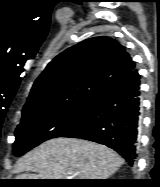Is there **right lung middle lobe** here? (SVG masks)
Here are the masks:
<instances>
[{
  "instance_id": "right-lung-middle-lobe-1",
  "label": "right lung middle lobe",
  "mask_w": 160,
  "mask_h": 187,
  "mask_svg": "<svg viewBox=\"0 0 160 187\" xmlns=\"http://www.w3.org/2000/svg\"><path fill=\"white\" fill-rule=\"evenodd\" d=\"M99 99L80 98L22 112L13 153L22 156L42 142L61 137L90 117Z\"/></svg>"
}]
</instances>
